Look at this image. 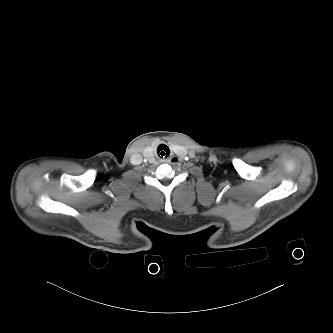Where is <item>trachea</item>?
I'll use <instances>...</instances> for the list:
<instances>
[{
  "instance_id": "1",
  "label": "trachea",
  "mask_w": 333,
  "mask_h": 333,
  "mask_svg": "<svg viewBox=\"0 0 333 333\" xmlns=\"http://www.w3.org/2000/svg\"><path fill=\"white\" fill-rule=\"evenodd\" d=\"M161 151V156H165V152H166V156H169L170 155V149L167 145L165 144H160L157 148V153L159 155V152ZM165 151V152H164Z\"/></svg>"
}]
</instances>
